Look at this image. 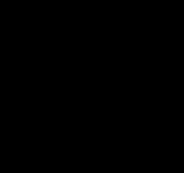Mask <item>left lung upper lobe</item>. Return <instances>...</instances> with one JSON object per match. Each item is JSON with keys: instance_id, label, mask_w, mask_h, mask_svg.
I'll list each match as a JSON object with an SVG mask.
<instances>
[{"instance_id": "left-lung-upper-lobe-1", "label": "left lung upper lobe", "mask_w": 184, "mask_h": 173, "mask_svg": "<svg viewBox=\"0 0 184 173\" xmlns=\"http://www.w3.org/2000/svg\"><path fill=\"white\" fill-rule=\"evenodd\" d=\"M120 104L124 126L157 144L167 123L166 91L149 59L138 51H131L124 60Z\"/></svg>"}]
</instances>
